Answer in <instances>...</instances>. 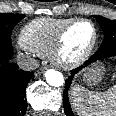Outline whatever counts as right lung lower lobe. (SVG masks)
Returning <instances> with one entry per match:
<instances>
[{"mask_svg": "<svg viewBox=\"0 0 116 116\" xmlns=\"http://www.w3.org/2000/svg\"><path fill=\"white\" fill-rule=\"evenodd\" d=\"M13 49L0 57V116H24L27 110L26 87L34 77L9 62Z\"/></svg>", "mask_w": 116, "mask_h": 116, "instance_id": "right-lung-lower-lobe-1", "label": "right lung lower lobe"}]
</instances>
